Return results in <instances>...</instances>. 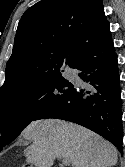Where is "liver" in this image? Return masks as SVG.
<instances>
[{
  "mask_svg": "<svg viewBox=\"0 0 125 167\" xmlns=\"http://www.w3.org/2000/svg\"><path fill=\"white\" fill-rule=\"evenodd\" d=\"M22 136L32 141L24 150L26 162L36 167H51L56 158H68L72 167H111L117 163V150L111 143L71 122L33 121Z\"/></svg>",
  "mask_w": 125,
  "mask_h": 167,
  "instance_id": "6515ba94",
  "label": "liver"
}]
</instances>
